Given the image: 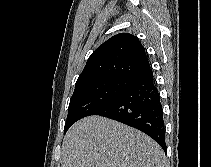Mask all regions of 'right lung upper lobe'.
<instances>
[{"label":"right lung upper lobe","instance_id":"1","mask_svg":"<svg viewBox=\"0 0 211 167\" xmlns=\"http://www.w3.org/2000/svg\"><path fill=\"white\" fill-rule=\"evenodd\" d=\"M149 67L141 42L132 34L120 33L90 55L75 86L106 77L130 78Z\"/></svg>","mask_w":211,"mask_h":167}]
</instances>
